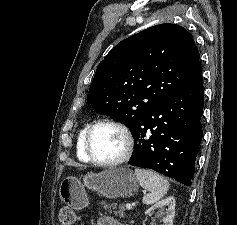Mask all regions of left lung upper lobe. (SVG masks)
Wrapping results in <instances>:
<instances>
[{
    "label": "left lung upper lobe",
    "instance_id": "obj_1",
    "mask_svg": "<svg viewBox=\"0 0 237 225\" xmlns=\"http://www.w3.org/2000/svg\"><path fill=\"white\" fill-rule=\"evenodd\" d=\"M199 57L193 36L183 27H150L105 56L87 101L132 132L157 103L202 81Z\"/></svg>",
    "mask_w": 237,
    "mask_h": 225
}]
</instances>
